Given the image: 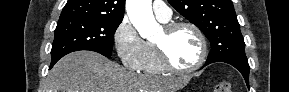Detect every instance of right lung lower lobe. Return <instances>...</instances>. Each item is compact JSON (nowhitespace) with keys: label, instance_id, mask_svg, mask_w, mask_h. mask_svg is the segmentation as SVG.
<instances>
[{"label":"right lung lower lobe","instance_id":"obj_1","mask_svg":"<svg viewBox=\"0 0 289 92\" xmlns=\"http://www.w3.org/2000/svg\"><path fill=\"white\" fill-rule=\"evenodd\" d=\"M55 63H56V62H51V64H50V69L54 66Z\"/></svg>","mask_w":289,"mask_h":92}]
</instances>
